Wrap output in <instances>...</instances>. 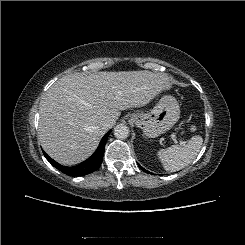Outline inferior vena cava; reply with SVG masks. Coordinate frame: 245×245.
Masks as SVG:
<instances>
[{
	"label": "inferior vena cava",
	"instance_id": "obj_1",
	"mask_svg": "<svg viewBox=\"0 0 245 245\" xmlns=\"http://www.w3.org/2000/svg\"><path fill=\"white\" fill-rule=\"evenodd\" d=\"M115 125V121L114 120H106L101 124V127L104 130H109L111 127H113Z\"/></svg>",
	"mask_w": 245,
	"mask_h": 245
}]
</instances>
